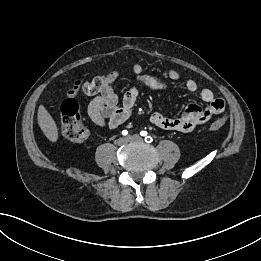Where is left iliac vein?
<instances>
[{
	"label": "left iliac vein",
	"mask_w": 261,
	"mask_h": 261,
	"mask_svg": "<svg viewBox=\"0 0 261 261\" xmlns=\"http://www.w3.org/2000/svg\"><path fill=\"white\" fill-rule=\"evenodd\" d=\"M127 140L130 141V142H142L143 138L140 135L135 134V135H132V136H128Z\"/></svg>",
	"instance_id": "obj_1"
}]
</instances>
